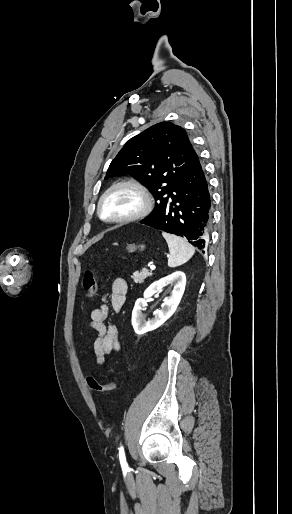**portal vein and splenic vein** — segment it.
Wrapping results in <instances>:
<instances>
[{
    "instance_id": "18ae733b",
    "label": "portal vein and splenic vein",
    "mask_w": 292,
    "mask_h": 514,
    "mask_svg": "<svg viewBox=\"0 0 292 514\" xmlns=\"http://www.w3.org/2000/svg\"><path fill=\"white\" fill-rule=\"evenodd\" d=\"M156 266H150V270H155Z\"/></svg>"
}]
</instances>
